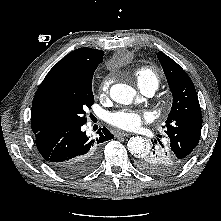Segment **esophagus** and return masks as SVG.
I'll list each match as a JSON object with an SVG mask.
<instances>
[{
    "label": "esophagus",
    "instance_id": "1",
    "mask_svg": "<svg viewBox=\"0 0 221 221\" xmlns=\"http://www.w3.org/2000/svg\"><path fill=\"white\" fill-rule=\"evenodd\" d=\"M115 135H116L117 137H127V136H130L131 133H129V132H124V131H118V132H116Z\"/></svg>",
    "mask_w": 221,
    "mask_h": 221
}]
</instances>
